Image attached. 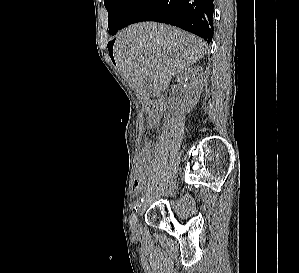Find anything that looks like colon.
Here are the masks:
<instances>
[{
    "instance_id": "obj_1",
    "label": "colon",
    "mask_w": 299,
    "mask_h": 273,
    "mask_svg": "<svg viewBox=\"0 0 299 273\" xmlns=\"http://www.w3.org/2000/svg\"><path fill=\"white\" fill-rule=\"evenodd\" d=\"M142 149L145 151H150L152 149V142L150 140H145Z\"/></svg>"
}]
</instances>
